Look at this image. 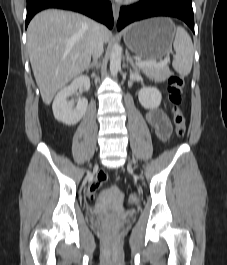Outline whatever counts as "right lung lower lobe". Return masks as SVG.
<instances>
[{
  "label": "right lung lower lobe",
  "instance_id": "obj_1",
  "mask_svg": "<svg viewBox=\"0 0 227 265\" xmlns=\"http://www.w3.org/2000/svg\"><path fill=\"white\" fill-rule=\"evenodd\" d=\"M47 8H60L83 13L108 28L113 27L112 6L105 0H27L26 28L32 17Z\"/></svg>",
  "mask_w": 227,
  "mask_h": 265
}]
</instances>
